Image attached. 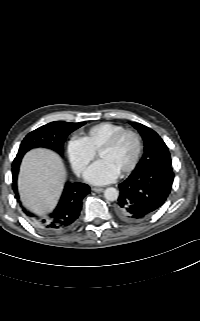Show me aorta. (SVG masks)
<instances>
[{
  "label": "aorta",
  "instance_id": "obj_1",
  "mask_svg": "<svg viewBox=\"0 0 200 321\" xmlns=\"http://www.w3.org/2000/svg\"><path fill=\"white\" fill-rule=\"evenodd\" d=\"M118 196H119L118 190L113 187H109L104 191V197L108 201H115L117 200Z\"/></svg>",
  "mask_w": 200,
  "mask_h": 321
}]
</instances>
